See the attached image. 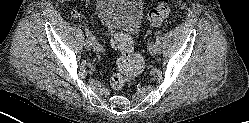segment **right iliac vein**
Instances as JSON below:
<instances>
[{"instance_id": "right-iliac-vein-1", "label": "right iliac vein", "mask_w": 249, "mask_h": 123, "mask_svg": "<svg viewBox=\"0 0 249 123\" xmlns=\"http://www.w3.org/2000/svg\"><path fill=\"white\" fill-rule=\"evenodd\" d=\"M84 46L87 50H91L93 45L91 44V41L89 39H86Z\"/></svg>"}]
</instances>
